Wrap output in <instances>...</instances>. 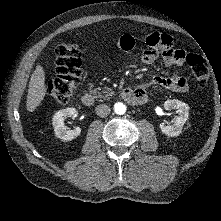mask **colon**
Listing matches in <instances>:
<instances>
[{
	"label": "colon",
	"instance_id": "1",
	"mask_svg": "<svg viewBox=\"0 0 221 221\" xmlns=\"http://www.w3.org/2000/svg\"><path fill=\"white\" fill-rule=\"evenodd\" d=\"M198 87L204 88L209 80V71L202 56L186 55ZM81 53L73 43H61L55 49L56 75L47 83L49 95L59 104H66L72 98L81 77Z\"/></svg>",
	"mask_w": 221,
	"mask_h": 221
}]
</instances>
